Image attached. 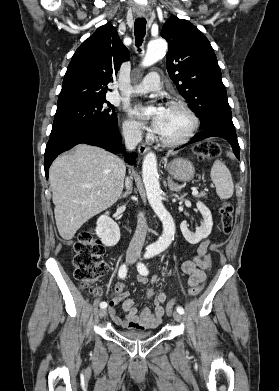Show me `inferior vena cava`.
I'll return each instance as SVG.
<instances>
[{"instance_id":"1","label":"inferior vena cava","mask_w":279,"mask_h":391,"mask_svg":"<svg viewBox=\"0 0 279 391\" xmlns=\"http://www.w3.org/2000/svg\"><path fill=\"white\" fill-rule=\"evenodd\" d=\"M126 148L132 151L136 148L137 144L142 139V133L138 127H130L123 131ZM125 185L128 189H131V181L126 178ZM147 233V224L144 214L141 212L138 214L137 227L134 236L129 244L127 254L140 255L142 247L145 242Z\"/></svg>"}]
</instances>
